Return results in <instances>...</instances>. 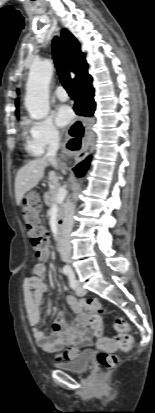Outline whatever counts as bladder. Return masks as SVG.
Returning a JSON list of instances; mask_svg holds the SVG:
<instances>
[{
	"label": "bladder",
	"instance_id": "31cf9c89",
	"mask_svg": "<svg viewBox=\"0 0 155 413\" xmlns=\"http://www.w3.org/2000/svg\"><path fill=\"white\" fill-rule=\"evenodd\" d=\"M92 351L86 350L78 354L68 362H56L55 367L74 373H84L88 370L91 362Z\"/></svg>",
	"mask_w": 155,
	"mask_h": 413
}]
</instances>
